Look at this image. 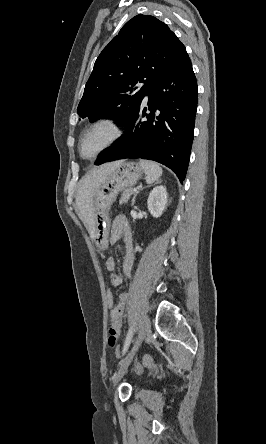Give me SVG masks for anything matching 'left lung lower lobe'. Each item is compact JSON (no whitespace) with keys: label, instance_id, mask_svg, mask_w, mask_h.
<instances>
[{"label":"left lung lower lobe","instance_id":"0a47b994","mask_svg":"<svg viewBox=\"0 0 266 444\" xmlns=\"http://www.w3.org/2000/svg\"><path fill=\"white\" fill-rule=\"evenodd\" d=\"M148 107L124 124L125 135L101 152L96 165L123 158L153 160L186 176L193 141L198 89L188 54L147 92ZM150 110L149 114L146 111ZM157 111V112H156Z\"/></svg>","mask_w":266,"mask_h":444}]
</instances>
